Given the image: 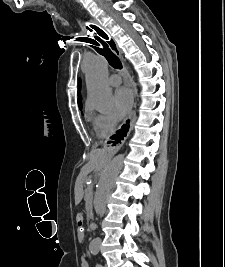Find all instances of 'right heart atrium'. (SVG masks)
Listing matches in <instances>:
<instances>
[{"mask_svg":"<svg viewBox=\"0 0 225 267\" xmlns=\"http://www.w3.org/2000/svg\"><path fill=\"white\" fill-rule=\"evenodd\" d=\"M93 125L99 135L107 136L115 131L117 120L110 113H99L93 116Z\"/></svg>","mask_w":225,"mask_h":267,"instance_id":"1","label":"right heart atrium"}]
</instances>
